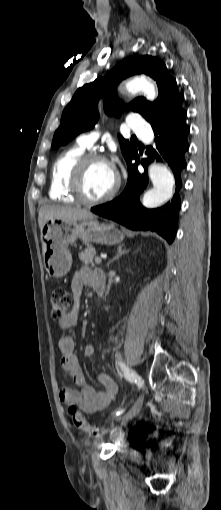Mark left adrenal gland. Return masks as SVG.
Segmentation results:
<instances>
[{"instance_id": "a2214340", "label": "left adrenal gland", "mask_w": 221, "mask_h": 510, "mask_svg": "<svg viewBox=\"0 0 221 510\" xmlns=\"http://www.w3.org/2000/svg\"><path fill=\"white\" fill-rule=\"evenodd\" d=\"M123 246H124V245H120V246L118 247L116 256H115V257H113V259H111V260L108 262L107 267H109V265H110L113 261H115V260L119 259L122 255H124V254H126V253H128V252H129V250H125V249H123Z\"/></svg>"}]
</instances>
